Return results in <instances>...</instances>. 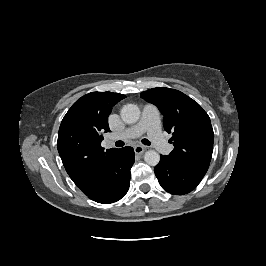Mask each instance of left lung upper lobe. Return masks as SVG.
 Segmentation results:
<instances>
[{
    "mask_svg": "<svg viewBox=\"0 0 266 266\" xmlns=\"http://www.w3.org/2000/svg\"><path fill=\"white\" fill-rule=\"evenodd\" d=\"M141 97L159 108L165 130L173 135L169 141L174 150L167 157L179 166L208 169L214 133L202 107L184 93L165 87L144 91Z\"/></svg>",
    "mask_w": 266,
    "mask_h": 266,
    "instance_id": "1",
    "label": "left lung upper lobe"
}]
</instances>
